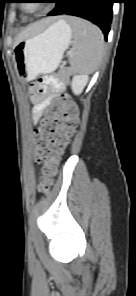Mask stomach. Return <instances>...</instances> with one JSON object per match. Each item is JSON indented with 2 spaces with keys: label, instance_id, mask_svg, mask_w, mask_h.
<instances>
[{
  "label": "stomach",
  "instance_id": "1",
  "mask_svg": "<svg viewBox=\"0 0 136 296\" xmlns=\"http://www.w3.org/2000/svg\"><path fill=\"white\" fill-rule=\"evenodd\" d=\"M71 37L70 26L59 20L42 33L18 41L13 52L20 74L26 73V78L31 80L52 73L59 66Z\"/></svg>",
  "mask_w": 136,
  "mask_h": 296
}]
</instances>
